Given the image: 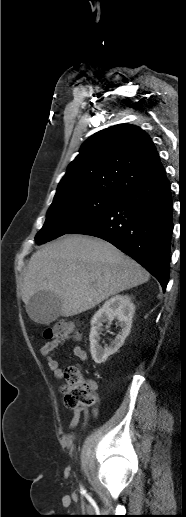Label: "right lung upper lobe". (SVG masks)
Wrapping results in <instances>:
<instances>
[{
	"label": "right lung upper lobe",
	"instance_id": "right-lung-upper-lobe-1",
	"mask_svg": "<svg viewBox=\"0 0 186 517\" xmlns=\"http://www.w3.org/2000/svg\"><path fill=\"white\" fill-rule=\"evenodd\" d=\"M163 177L165 170L151 138L137 126L119 124L84 142L54 198L75 194L121 197Z\"/></svg>",
	"mask_w": 186,
	"mask_h": 517
}]
</instances>
